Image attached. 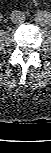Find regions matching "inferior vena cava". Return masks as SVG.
<instances>
[{
  "label": "inferior vena cava",
  "mask_w": 51,
  "mask_h": 153,
  "mask_svg": "<svg viewBox=\"0 0 51 153\" xmlns=\"http://www.w3.org/2000/svg\"><path fill=\"white\" fill-rule=\"evenodd\" d=\"M10 19L14 24H20L25 21V14L22 11L15 10L11 13Z\"/></svg>",
  "instance_id": "602c4592"
}]
</instances>
